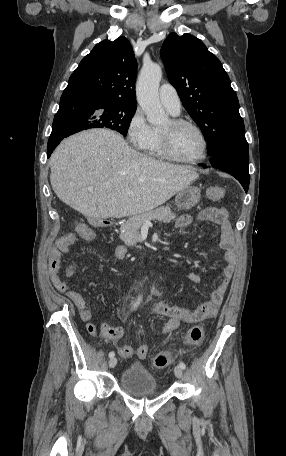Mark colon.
<instances>
[{"label":"colon","mask_w":286,"mask_h":456,"mask_svg":"<svg viewBox=\"0 0 286 456\" xmlns=\"http://www.w3.org/2000/svg\"><path fill=\"white\" fill-rule=\"evenodd\" d=\"M225 195L223 187H212L207 190V196L211 200L220 199ZM91 229L85 224L78 225V232L83 235H90ZM204 338V328L202 326L192 327L187 334L186 341L189 345H198ZM136 354L139 358H145L148 354V347L142 345L138 347ZM171 354L168 352H160L153 358V364L158 369L166 368L171 363Z\"/></svg>","instance_id":"5ec220e1"}]
</instances>
